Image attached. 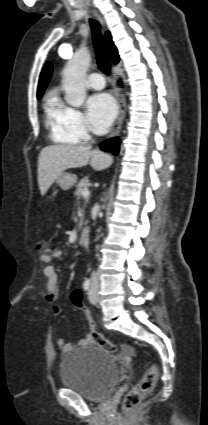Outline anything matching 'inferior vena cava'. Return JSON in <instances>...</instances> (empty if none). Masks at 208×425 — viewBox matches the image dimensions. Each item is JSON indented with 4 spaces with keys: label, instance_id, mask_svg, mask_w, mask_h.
I'll list each match as a JSON object with an SVG mask.
<instances>
[{
    "label": "inferior vena cava",
    "instance_id": "inferior-vena-cava-1",
    "mask_svg": "<svg viewBox=\"0 0 208 425\" xmlns=\"http://www.w3.org/2000/svg\"><path fill=\"white\" fill-rule=\"evenodd\" d=\"M91 279H92V281H93V282H95V283H97V282H98L97 275H96V273H95V272H93V273H92Z\"/></svg>",
    "mask_w": 208,
    "mask_h": 425
}]
</instances>
